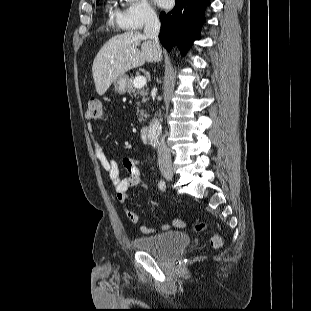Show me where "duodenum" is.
Masks as SVG:
<instances>
[{
	"label": "duodenum",
	"instance_id": "1",
	"mask_svg": "<svg viewBox=\"0 0 311 311\" xmlns=\"http://www.w3.org/2000/svg\"><path fill=\"white\" fill-rule=\"evenodd\" d=\"M149 128L147 126H143L140 128V137L142 142L147 143L149 141Z\"/></svg>",
	"mask_w": 311,
	"mask_h": 311
}]
</instances>
